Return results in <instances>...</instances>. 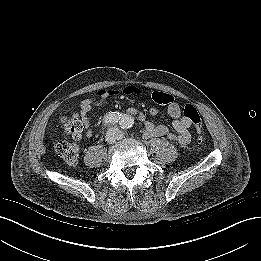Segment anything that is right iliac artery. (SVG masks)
Wrapping results in <instances>:
<instances>
[{"label":"right iliac artery","mask_w":261,"mask_h":261,"mask_svg":"<svg viewBox=\"0 0 261 261\" xmlns=\"http://www.w3.org/2000/svg\"><path fill=\"white\" fill-rule=\"evenodd\" d=\"M120 114L118 112H109L103 119L104 125L116 124L120 120Z\"/></svg>","instance_id":"obj_1"}]
</instances>
